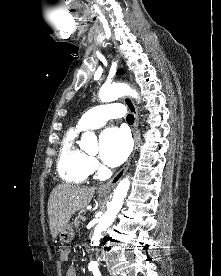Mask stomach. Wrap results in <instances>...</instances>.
Instances as JSON below:
<instances>
[{"label":"stomach","mask_w":221,"mask_h":276,"mask_svg":"<svg viewBox=\"0 0 221 276\" xmlns=\"http://www.w3.org/2000/svg\"><path fill=\"white\" fill-rule=\"evenodd\" d=\"M74 230L71 224H67L64 229L59 233L60 241L70 243L74 238Z\"/></svg>","instance_id":"stomach-1"}]
</instances>
